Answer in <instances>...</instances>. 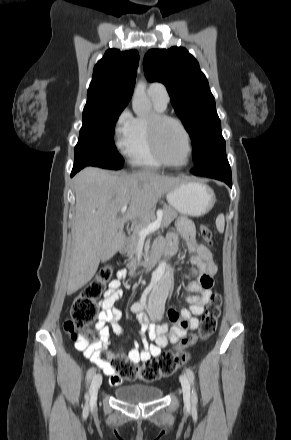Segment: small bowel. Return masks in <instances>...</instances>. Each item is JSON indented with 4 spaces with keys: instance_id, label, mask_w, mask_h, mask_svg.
Masks as SVG:
<instances>
[{
    "instance_id": "small-bowel-1",
    "label": "small bowel",
    "mask_w": 291,
    "mask_h": 440,
    "mask_svg": "<svg viewBox=\"0 0 291 440\" xmlns=\"http://www.w3.org/2000/svg\"><path fill=\"white\" fill-rule=\"evenodd\" d=\"M178 230L189 247L190 254L195 261V267L191 270L190 280L187 290V301L190 304L188 309L184 308L177 312L173 309L169 310V316L175 317L177 323L168 333L166 325H151L148 317L143 312L145 307V298L135 304L138 308L136 311V319L141 324V330L147 331V337L141 333V344L136 343L135 347L128 351L126 359L135 364H143L152 358L161 354L162 348L175 344L180 338L184 337L188 331L196 330L199 326L197 316L201 315L205 304L209 301L211 293L206 286L210 277L216 275L217 265L213 261L210 250L199 243L196 239V229L194 225L186 219H181L178 224ZM179 247V236L177 232L167 234L166 240L158 239L154 245V251L158 254L166 256L174 255ZM126 272L120 270L117 277L109 283V287L104 294V298L100 303L101 312L95 323V328L100 331V340L93 346H87L82 341L76 340L75 348L84 353L92 362L96 363L103 372L108 376L109 382L113 385L123 383V378L118 375L110 361H103L99 358V349L108 347L111 343V332L117 336L123 335V329L119 324L120 311L114 307V303L122 297L120 289L122 280H124ZM200 292V296L193 294ZM183 321H188L183 324ZM113 356H115L113 354Z\"/></svg>"
}]
</instances>
